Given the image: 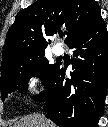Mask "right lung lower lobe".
<instances>
[{
  "mask_svg": "<svg viewBox=\"0 0 108 127\" xmlns=\"http://www.w3.org/2000/svg\"><path fill=\"white\" fill-rule=\"evenodd\" d=\"M71 79L57 65L46 90L33 99L46 101L49 118L59 127H94L103 114L108 86V32L102 18L77 34Z\"/></svg>",
  "mask_w": 108,
  "mask_h": 127,
  "instance_id": "98d812e1",
  "label": "right lung lower lobe"
}]
</instances>
